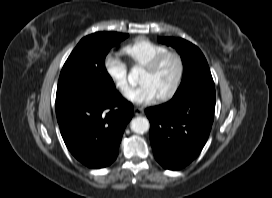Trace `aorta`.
<instances>
[{
  "mask_svg": "<svg viewBox=\"0 0 272 198\" xmlns=\"http://www.w3.org/2000/svg\"><path fill=\"white\" fill-rule=\"evenodd\" d=\"M140 69L138 67L132 68L131 72L128 75V80L130 83H135L138 79ZM150 124L147 118L145 117H136L132 119L130 128L133 132L137 134H143L149 130Z\"/></svg>",
  "mask_w": 272,
  "mask_h": 198,
  "instance_id": "1",
  "label": "aorta"
}]
</instances>
